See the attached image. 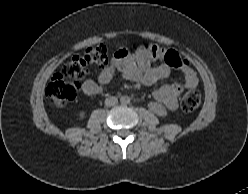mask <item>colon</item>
<instances>
[{
  "mask_svg": "<svg viewBox=\"0 0 248 194\" xmlns=\"http://www.w3.org/2000/svg\"><path fill=\"white\" fill-rule=\"evenodd\" d=\"M151 50L149 44H135L132 51ZM164 61L172 67L178 64V54L174 51H165ZM108 63V51L104 44L87 49L83 54L73 56L56 73L48 83L46 95L57 108H64L73 101L80 89V80L91 70L105 66ZM201 102V94L197 89H189L182 97L181 108L184 112H193Z\"/></svg>",
  "mask_w": 248,
  "mask_h": 194,
  "instance_id": "5ec220e1",
  "label": "colon"
}]
</instances>
